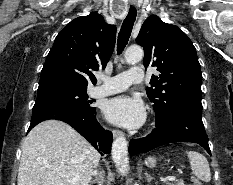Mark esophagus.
Returning a JSON list of instances; mask_svg holds the SVG:
<instances>
[{"label":"esophagus","instance_id":"34e87169","mask_svg":"<svg viewBox=\"0 0 233 185\" xmlns=\"http://www.w3.org/2000/svg\"><path fill=\"white\" fill-rule=\"evenodd\" d=\"M120 136H123V132L120 131V130H114L113 131V137L114 138H117V137H120Z\"/></svg>","mask_w":233,"mask_h":185}]
</instances>
